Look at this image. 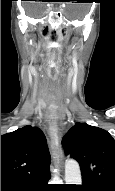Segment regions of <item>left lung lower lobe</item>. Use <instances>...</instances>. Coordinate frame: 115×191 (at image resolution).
Instances as JSON below:
<instances>
[{
	"label": "left lung lower lobe",
	"instance_id": "left-lung-lower-lobe-1",
	"mask_svg": "<svg viewBox=\"0 0 115 191\" xmlns=\"http://www.w3.org/2000/svg\"><path fill=\"white\" fill-rule=\"evenodd\" d=\"M79 191H104V190L95 186L82 185L79 187Z\"/></svg>",
	"mask_w": 115,
	"mask_h": 191
}]
</instances>
